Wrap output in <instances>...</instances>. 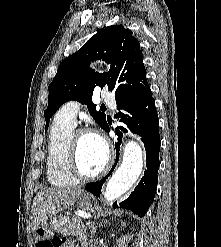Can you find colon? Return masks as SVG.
Masks as SVG:
<instances>
[{
  "instance_id": "5ec220e1",
  "label": "colon",
  "mask_w": 221,
  "mask_h": 247,
  "mask_svg": "<svg viewBox=\"0 0 221 247\" xmlns=\"http://www.w3.org/2000/svg\"><path fill=\"white\" fill-rule=\"evenodd\" d=\"M63 241L59 238H54L51 241H41L36 247H58Z\"/></svg>"
}]
</instances>
